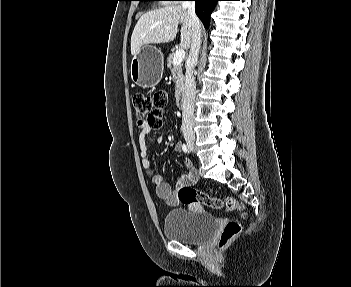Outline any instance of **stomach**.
<instances>
[{
  "instance_id": "stomach-1",
  "label": "stomach",
  "mask_w": 351,
  "mask_h": 287,
  "mask_svg": "<svg viewBox=\"0 0 351 287\" xmlns=\"http://www.w3.org/2000/svg\"><path fill=\"white\" fill-rule=\"evenodd\" d=\"M164 56L154 46L144 45L131 61V79L142 88L156 86L162 79Z\"/></svg>"
}]
</instances>
